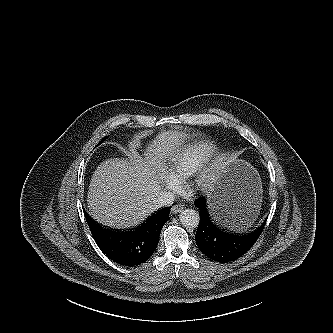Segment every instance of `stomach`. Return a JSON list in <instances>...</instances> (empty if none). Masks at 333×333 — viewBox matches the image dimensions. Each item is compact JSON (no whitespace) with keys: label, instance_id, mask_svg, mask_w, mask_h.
Masks as SVG:
<instances>
[{"label":"stomach","instance_id":"stomach-1","mask_svg":"<svg viewBox=\"0 0 333 333\" xmlns=\"http://www.w3.org/2000/svg\"><path fill=\"white\" fill-rule=\"evenodd\" d=\"M262 202L256 169L238 158L220 160L206 209L208 225L220 234H239L258 221Z\"/></svg>","mask_w":333,"mask_h":333}]
</instances>
